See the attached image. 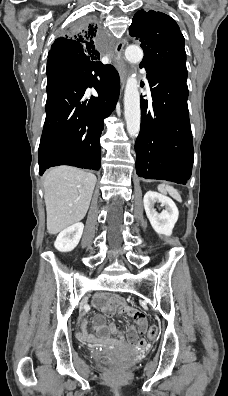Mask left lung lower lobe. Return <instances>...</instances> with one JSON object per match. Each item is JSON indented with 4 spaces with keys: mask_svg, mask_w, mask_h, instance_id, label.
Listing matches in <instances>:
<instances>
[{
    "mask_svg": "<svg viewBox=\"0 0 228 396\" xmlns=\"http://www.w3.org/2000/svg\"><path fill=\"white\" fill-rule=\"evenodd\" d=\"M153 103L141 99V129L135 143L139 177L186 184L194 149L186 81L162 69H146Z\"/></svg>",
    "mask_w": 228,
    "mask_h": 396,
    "instance_id": "obj_1",
    "label": "left lung lower lobe"
}]
</instances>
